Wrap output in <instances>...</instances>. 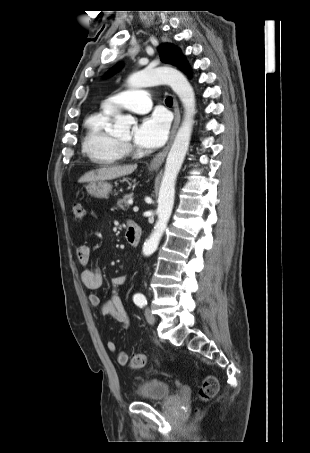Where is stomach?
<instances>
[{"label":"stomach","instance_id":"stomach-1","mask_svg":"<svg viewBox=\"0 0 310 453\" xmlns=\"http://www.w3.org/2000/svg\"><path fill=\"white\" fill-rule=\"evenodd\" d=\"M153 170V169H152ZM87 192L94 197L104 198L110 193L112 186L106 181L91 182L87 186Z\"/></svg>","mask_w":310,"mask_h":453}]
</instances>
